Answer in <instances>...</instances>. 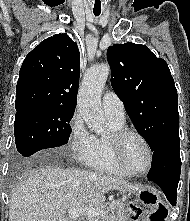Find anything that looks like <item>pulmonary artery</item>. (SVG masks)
Instances as JSON below:
<instances>
[{"label": "pulmonary artery", "mask_w": 190, "mask_h": 221, "mask_svg": "<svg viewBox=\"0 0 190 221\" xmlns=\"http://www.w3.org/2000/svg\"><path fill=\"white\" fill-rule=\"evenodd\" d=\"M103 112L108 119L125 122L124 104L118 95L112 91L106 92L102 98Z\"/></svg>", "instance_id": "pulmonary-artery-1"}]
</instances>
